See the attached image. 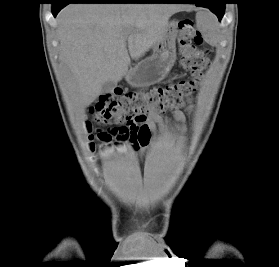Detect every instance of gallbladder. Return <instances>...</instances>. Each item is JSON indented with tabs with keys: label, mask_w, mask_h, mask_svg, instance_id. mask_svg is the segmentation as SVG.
Returning a JSON list of instances; mask_svg holds the SVG:
<instances>
[{
	"label": "gallbladder",
	"mask_w": 279,
	"mask_h": 267,
	"mask_svg": "<svg viewBox=\"0 0 279 267\" xmlns=\"http://www.w3.org/2000/svg\"><path fill=\"white\" fill-rule=\"evenodd\" d=\"M115 86L116 83L112 80H109L102 85L101 93L103 94L111 93L114 90Z\"/></svg>",
	"instance_id": "bac80fb5"
}]
</instances>
